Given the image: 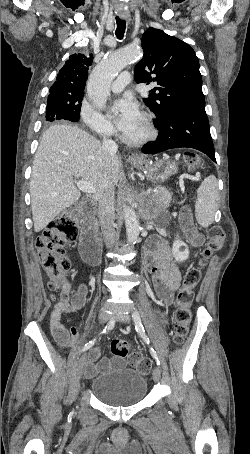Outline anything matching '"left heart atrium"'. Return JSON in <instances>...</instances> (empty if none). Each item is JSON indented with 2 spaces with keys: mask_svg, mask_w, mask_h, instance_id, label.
<instances>
[{
  "mask_svg": "<svg viewBox=\"0 0 250 454\" xmlns=\"http://www.w3.org/2000/svg\"><path fill=\"white\" fill-rule=\"evenodd\" d=\"M113 107L116 111L115 123L122 132L131 128L140 117L138 105L131 97L126 96L117 100Z\"/></svg>",
  "mask_w": 250,
  "mask_h": 454,
  "instance_id": "1",
  "label": "left heart atrium"
}]
</instances>
